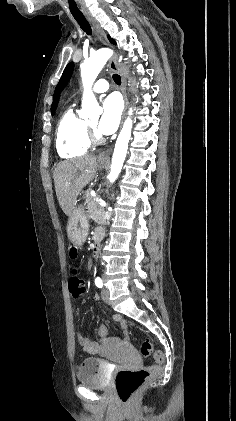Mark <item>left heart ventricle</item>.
Segmentation results:
<instances>
[{"label":"left heart ventricle","mask_w":236,"mask_h":421,"mask_svg":"<svg viewBox=\"0 0 236 421\" xmlns=\"http://www.w3.org/2000/svg\"><path fill=\"white\" fill-rule=\"evenodd\" d=\"M90 126H92L94 129H97V119L88 121Z\"/></svg>","instance_id":"b2bd125f"}]
</instances>
